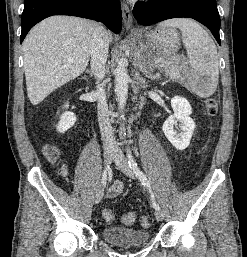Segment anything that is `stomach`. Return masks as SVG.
Returning <instances> with one entry per match:
<instances>
[{"mask_svg": "<svg viewBox=\"0 0 247 257\" xmlns=\"http://www.w3.org/2000/svg\"><path fill=\"white\" fill-rule=\"evenodd\" d=\"M138 46L134 52L137 66L143 71H150L158 64L165 68H174L169 75L181 80L185 86L194 89L200 83H194L192 69L177 55L179 34L172 27H161L151 32L137 35Z\"/></svg>", "mask_w": 247, "mask_h": 257, "instance_id": "1", "label": "stomach"}]
</instances>
